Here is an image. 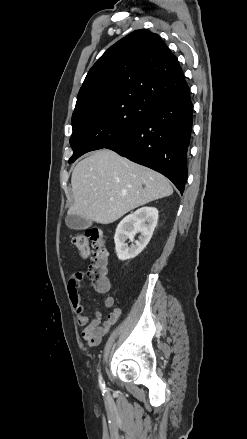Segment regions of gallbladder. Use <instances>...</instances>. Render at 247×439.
<instances>
[{
	"mask_svg": "<svg viewBox=\"0 0 247 439\" xmlns=\"http://www.w3.org/2000/svg\"><path fill=\"white\" fill-rule=\"evenodd\" d=\"M67 227L74 230H82L91 226L92 221L76 214H68L65 218Z\"/></svg>",
	"mask_w": 247,
	"mask_h": 439,
	"instance_id": "1",
	"label": "gallbladder"
}]
</instances>
